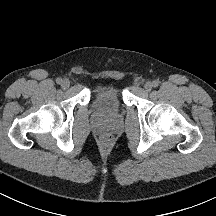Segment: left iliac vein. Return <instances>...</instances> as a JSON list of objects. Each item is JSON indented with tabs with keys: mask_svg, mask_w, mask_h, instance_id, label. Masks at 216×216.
<instances>
[{
	"mask_svg": "<svg viewBox=\"0 0 216 216\" xmlns=\"http://www.w3.org/2000/svg\"><path fill=\"white\" fill-rule=\"evenodd\" d=\"M152 87H153V85L151 82H146L144 85L145 91H147V92L151 91Z\"/></svg>",
	"mask_w": 216,
	"mask_h": 216,
	"instance_id": "obj_1",
	"label": "left iliac vein"
}]
</instances>
